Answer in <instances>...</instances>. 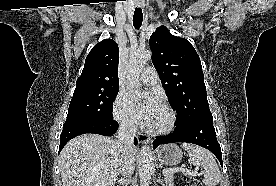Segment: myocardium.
<instances>
[{"label":"myocardium","mask_w":276,"mask_h":186,"mask_svg":"<svg viewBox=\"0 0 276 186\" xmlns=\"http://www.w3.org/2000/svg\"><path fill=\"white\" fill-rule=\"evenodd\" d=\"M162 107L168 113V117H169L168 123L165 126L160 127V128H151V127H149L147 129V131L150 134H153V135L167 134V133L171 132L174 129L175 125H176L177 117H176L175 111L166 103H163Z\"/></svg>","instance_id":"1"}]
</instances>
